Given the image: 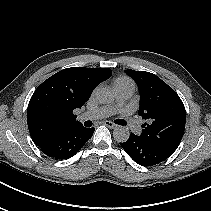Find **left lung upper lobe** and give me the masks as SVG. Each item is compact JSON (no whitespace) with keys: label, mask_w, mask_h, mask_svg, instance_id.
<instances>
[{"label":"left lung upper lobe","mask_w":211,"mask_h":211,"mask_svg":"<svg viewBox=\"0 0 211 211\" xmlns=\"http://www.w3.org/2000/svg\"><path fill=\"white\" fill-rule=\"evenodd\" d=\"M125 72L139 87L138 114L148 123L142 125L140 137L171 156L179 146L185 130L186 113L177 93L156 75L145 71Z\"/></svg>","instance_id":"left-lung-upper-lobe-1"}]
</instances>
